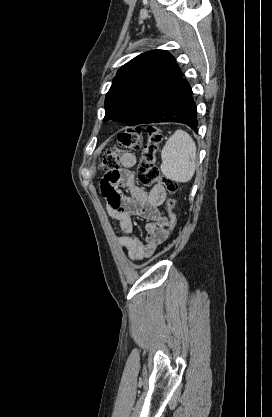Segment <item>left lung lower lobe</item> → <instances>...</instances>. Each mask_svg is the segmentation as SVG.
<instances>
[{"mask_svg":"<svg viewBox=\"0 0 272 417\" xmlns=\"http://www.w3.org/2000/svg\"><path fill=\"white\" fill-rule=\"evenodd\" d=\"M192 94L189 83L181 77L155 110L141 124L179 122L188 125L197 132V110Z\"/></svg>","mask_w":272,"mask_h":417,"instance_id":"0a47b994","label":"left lung lower lobe"}]
</instances>
